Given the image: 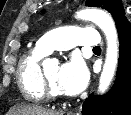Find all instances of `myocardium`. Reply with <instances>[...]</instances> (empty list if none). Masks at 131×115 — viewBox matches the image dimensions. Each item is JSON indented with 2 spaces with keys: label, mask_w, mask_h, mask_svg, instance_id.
<instances>
[{
  "label": "myocardium",
  "mask_w": 131,
  "mask_h": 115,
  "mask_svg": "<svg viewBox=\"0 0 131 115\" xmlns=\"http://www.w3.org/2000/svg\"><path fill=\"white\" fill-rule=\"evenodd\" d=\"M41 83L44 96L48 100H60L62 99L59 95L53 92L50 87L49 81L45 75V71H41Z\"/></svg>",
  "instance_id": "obj_1"
}]
</instances>
